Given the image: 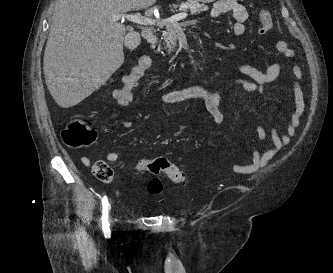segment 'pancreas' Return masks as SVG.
Returning a JSON list of instances; mask_svg holds the SVG:
<instances>
[{
  "mask_svg": "<svg viewBox=\"0 0 333 273\" xmlns=\"http://www.w3.org/2000/svg\"><path fill=\"white\" fill-rule=\"evenodd\" d=\"M184 5L189 6L190 12L192 15H196L201 13L202 11H206L207 7L203 4H199L196 0H188ZM184 9H179L182 11ZM166 31L163 32V39L166 42V48H168V52L171 53L175 49L177 45V37L178 33L180 32L181 28L177 22L170 23L166 22ZM160 49V47H159Z\"/></svg>",
  "mask_w": 333,
  "mask_h": 273,
  "instance_id": "obj_1",
  "label": "pancreas"
}]
</instances>
